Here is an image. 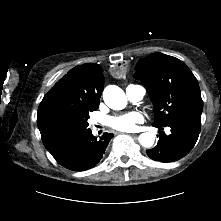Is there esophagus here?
Returning a JSON list of instances; mask_svg holds the SVG:
<instances>
[{"label": "esophagus", "mask_w": 221, "mask_h": 221, "mask_svg": "<svg viewBox=\"0 0 221 221\" xmlns=\"http://www.w3.org/2000/svg\"><path fill=\"white\" fill-rule=\"evenodd\" d=\"M117 134H119L120 136L122 135V136H124V135H126V136H130V137H132V136H135V134H133L132 132H128V131H126V132H124V131H119Z\"/></svg>", "instance_id": "34e87169"}]
</instances>
